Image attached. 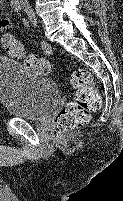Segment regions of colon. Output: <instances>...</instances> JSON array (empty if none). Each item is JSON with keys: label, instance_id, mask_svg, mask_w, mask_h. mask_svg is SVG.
<instances>
[{"label": "colon", "instance_id": "colon-1", "mask_svg": "<svg viewBox=\"0 0 123 201\" xmlns=\"http://www.w3.org/2000/svg\"><path fill=\"white\" fill-rule=\"evenodd\" d=\"M2 48L12 57L20 59L32 71L39 74L50 72V63L36 54L26 53L22 44L13 35L4 36ZM70 81L76 89L75 99L64 105L56 115L53 123L55 138H63L86 126L91 120L92 113L96 112L101 105L100 93L88 70L74 71Z\"/></svg>", "mask_w": 123, "mask_h": 201}]
</instances>
